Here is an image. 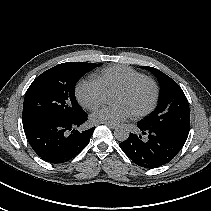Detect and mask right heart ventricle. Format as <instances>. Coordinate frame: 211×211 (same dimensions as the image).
<instances>
[{
  "label": "right heart ventricle",
  "instance_id": "1",
  "mask_svg": "<svg viewBox=\"0 0 211 211\" xmlns=\"http://www.w3.org/2000/svg\"><path fill=\"white\" fill-rule=\"evenodd\" d=\"M141 76H144V74L132 67L115 65L102 69L96 75V78L102 83L106 91H112Z\"/></svg>",
  "mask_w": 211,
  "mask_h": 211
}]
</instances>
